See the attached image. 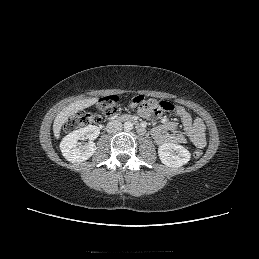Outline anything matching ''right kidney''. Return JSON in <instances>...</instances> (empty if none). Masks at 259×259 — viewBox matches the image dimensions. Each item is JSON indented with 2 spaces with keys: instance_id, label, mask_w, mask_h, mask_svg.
<instances>
[{
  "instance_id": "ca27d5eb",
  "label": "right kidney",
  "mask_w": 259,
  "mask_h": 259,
  "mask_svg": "<svg viewBox=\"0 0 259 259\" xmlns=\"http://www.w3.org/2000/svg\"><path fill=\"white\" fill-rule=\"evenodd\" d=\"M100 134L99 127L89 125L69 133L60 143V150L63 156L70 162H83L89 159L96 150L93 142ZM89 139L90 141L82 145L79 140Z\"/></svg>"
}]
</instances>
